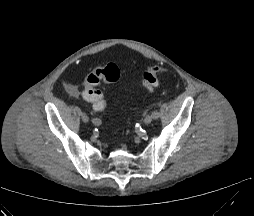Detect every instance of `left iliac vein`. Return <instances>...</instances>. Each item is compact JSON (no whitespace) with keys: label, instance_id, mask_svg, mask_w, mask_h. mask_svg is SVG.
I'll return each instance as SVG.
<instances>
[{"label":"left iliac vein","instance_id":"4c4485c4","mask_svg":"<svg viewBox=\"0 0 254 216\" xmlns=\"http://www.w3.org/2000/svg\"><path fill=\"white\" fill-rule=\"evenodd\" d=\"M152 116L151 115H147L144 119V123L145 124H150L152 122Z\"/></svg>","mask_w":254,"mask_h":216}]
</instances>
